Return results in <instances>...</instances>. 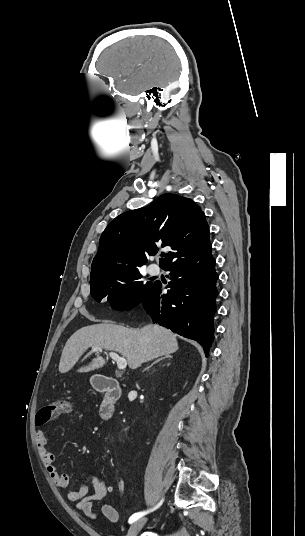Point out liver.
I'll list each match as a JSON object with an SVG mask.
<instances>
[{
    "mask_svg": "<svg viewBox=\"0 0 305 536\" xmlns=\"http://www.w3.org/2000/svg\"><path fill=\"white\" fill-rule=\"evenodd\" d=\"M99 346L101 350H112L119 352L121 356L127 358L128 366L131 370L140 368L144 362H150L160 356H169L178 350V342L175 334L171 330H166L157 324H148L139 330H130L124 326L110 324H95L77 330L69 340H67L61 354L58 370L61 374H66L72 370L82 354ZM97 358L92 360L89 366L79 368L77 372H92L103 368L106 360L96 354Z\"/></svg>",
    "mask_w": 305,
    "mask_h": 536,
    "instance_id": "6515ba94",
    "label": "liver"
}]
</instances>
